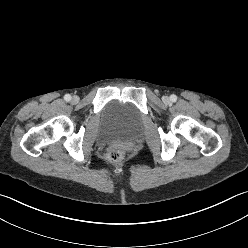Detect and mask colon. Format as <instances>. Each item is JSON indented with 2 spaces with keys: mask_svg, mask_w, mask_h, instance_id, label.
<instances>
[{
  "mask_svg": "<svg viewBox=\"0 0 248 248\" xmlns=\"http://www.w3.org/2000/svg\"><path fill=\"white\" fill-rule=\"evenodd\" d=\"M125 157V151L119 146L111 147L106 154V161L110 164L117 165Z\"/></svg>",
  "mask_w": 248,
  "mask_h": 248,
  "instance_id": "colon-1",
  "label": "colon"
}]
</instances>
